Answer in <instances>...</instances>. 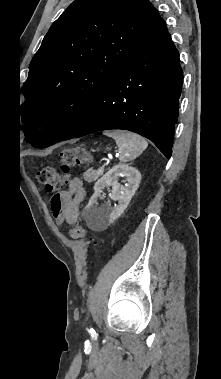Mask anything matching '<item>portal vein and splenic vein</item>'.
I'll return each instance as SVG.
<instances>
[{"label": "portal vein and splenic vein", "instance_id": "1", "mask_svg": "<svg viewBox=\"0 0 221 379\" xmlns=\"http://www.w3.org/2000/svg\"><path fill=\"white\" fill-rule=\"evenodd\" d=\"M108 156H109V155H108ZM108 162H109V159L106 160V162L103 164V167H104L105 165H107ZM101 169H103V168H101ZM101 169H100V170H101Z\"/></svg>", "mask_w": 221, "mask_h": 379}]
</instances>
